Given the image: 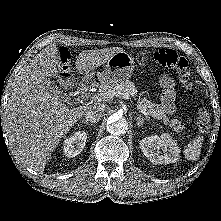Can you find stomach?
Masks as SVG:
<instances>
[{"instance_id":"1","label":"stomach","mask_w":221,"mask_h":221,"mask_svg":"<svg viewBox=\"0 0 221 221\" xmlns=\"http://www.w3.org/2000/svg\"><path fill=\"white\" fill-rule=\"evenodd\" d=\"M134 68V58L127 52L120 51L107 61L104 71L95 73L94 77L101 86L105 84H120L131 78Z\"/></svg>"}]
</instances>
